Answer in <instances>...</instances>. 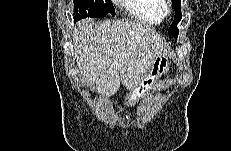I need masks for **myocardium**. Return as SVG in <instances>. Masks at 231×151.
<instances>
[{
  "label": "myocardium",
  "instance_id": "1",
  "mask_svg": "<svg viewBox=\"0 0 231 151\" xmlns=\"http://www.w3.org/2000/svg\"><path fill=\"white\" fill-rule=\"evenodd\" d=\"M164 12H165V14H170V12H171L170 7L166 6Z\"/></svg>",
  "mask_w": 231,
  "mask_h": 151
}]
</instances>
